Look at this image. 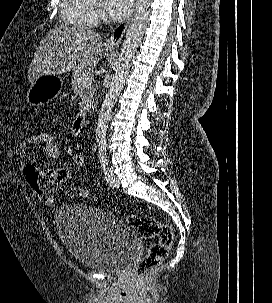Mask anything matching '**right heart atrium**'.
I'll return each instance as SVG.
<instances>
[{"label":"right heart atrium","mask_w":272,"mask_h":303,"mask_svg":"<svg viewBox=\"0 0 272 303\" xmlns=\"http://www.w3.org/2000/svg\"><path fill=\"white\" fill-rule=\"evenodd\" d=\"M99 17V12L96 11L95 14H94V19H97Z\"/></svg>","instance_id":"1"}]
</instances>
